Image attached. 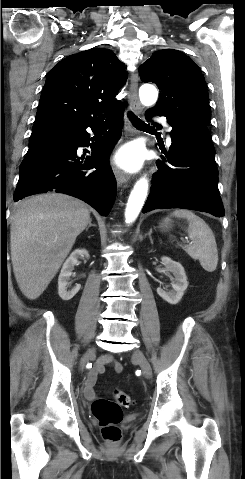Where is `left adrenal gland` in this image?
Returning a JSON list of instances; mask_svg holds the SVG:
<instances>
[{
	"instance_id": "left-adrenal-gland-1",
	"label": "left adrenal gland",
	"mask_w": 245,
	"mask_h": 479,
	"mask_svg": "<svg viewBox=\"0 0 245 479\" xmlns=\"http://www.w3.org/2000/svg\"><path fill=\"white\" fill-rule=\"evenodd\" d=\"M151 233H152V229H150V231L147 234H145V236H148L149 239H150L151 244H153V239H152Z\"/></svg>"
}]
</instances>
